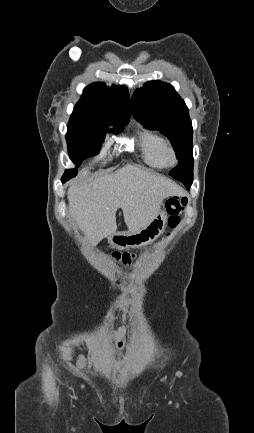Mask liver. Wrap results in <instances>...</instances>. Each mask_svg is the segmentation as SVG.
Instances as JSON below:
<instances>
[{"instance_id": "1", "label": "liver", "mask_w": 254, "mask_h": 433, "mask_svg": "<svg viewBox=\"0 0 254 433\" xmlns=\"http://www.w3.org/2000/svg\"><path fill=\"white\" fill-rule=\"evenodd\" d=\"M181 188L158 173L126 165L89 184H72L67 192L69 214L92 247L116 233L121 208L129 231L144 228L160 211L163 200Z\"/></svg>"}]
</instances>
